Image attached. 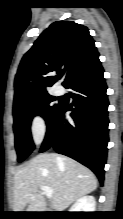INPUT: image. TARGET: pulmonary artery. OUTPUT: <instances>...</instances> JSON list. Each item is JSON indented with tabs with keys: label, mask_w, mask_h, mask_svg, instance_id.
I'll return each mask as SVG.
<instances>
[{
	"label": "pulmonary artery",
	"mask_w": 123,
	"mask_h": 219,
	"mask_svg": "<svg viewBox=\"0 0 123 219\" xmlns=\"http://www.w3.org/2000/svg\"><path fill=\"white\" fill-rule=\"evenodd\" d=\"M55 92L57 95H61L63 90L60 87H58V88H56Z\"/></svg>",
	"instance_id": "e3ab8cb5"
}]
</instances>
